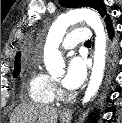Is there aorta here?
Listing matches in <instances>:
<instances>
[{"instance_id": "obj_1", "label": "aorta", "mask_w": 122, "mask_h": 123, "mask_svg": "<svg viewBox=\"0 0 122 123\" xmlns=\"http://www.w3.org/2000/svg\"><path fill=\"white\" fill-rule=\"evenodd\" d=\"M84 20L95 32L94 62L90 81L83 97L87 103L97 93L102 82L106 59V33L103 23L96 12L81 8L60 15L52 24L44 47V63L49 73L63 71L64 60L58 50L67 28Z\"/></svg>"}]
</instances>
